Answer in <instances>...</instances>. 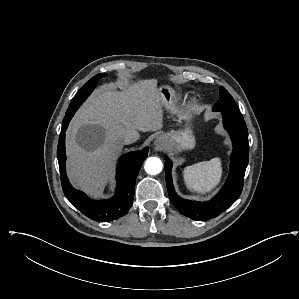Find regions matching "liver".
Segmentation results:
<instances>
[{
    "label": "liver",
    "mask_w": 299,
    "mask_h": 299,
    "mask_svg": "<svg viewBox=\"0 0 299 299\" xmlns=\"http://www.w3.org/2000/svg\"><path fill=\"white\" fill-rule=\"evenodd\" d=\"M96 89L77 112L68 131L69 176L75 185L97 195L111 176V165L130 130L148 132L163 126V102L156 79L123 82Z\"/></svg>",
    "instance_id": "1"
}]
</instances>
